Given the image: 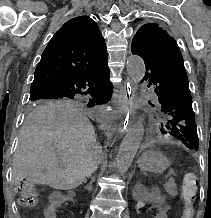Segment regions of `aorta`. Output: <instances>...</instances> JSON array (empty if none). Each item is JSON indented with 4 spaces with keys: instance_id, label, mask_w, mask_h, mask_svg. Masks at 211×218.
Instances as JSON below:
<instances>
[{
    "instance_id": "obj_1",
    "label": "aorta",
    "mask_w": 211,
    "mask_h": 218,
    "mask_svg": "<svg viewBox=\"0 0 211 218\" xmlns=\"http://www.w3.org/2000/svg\"><path fill=\"white\" fill-rule=\"evenodd\" d=\"M127 73L134 84L138 85L145 75V64L139 56H130L126 63ZM143 124L136 123L124 137L119 148L116 164L118 172L124 174L130 168L143 138Z\"/></svg>"
}]
</instances>
